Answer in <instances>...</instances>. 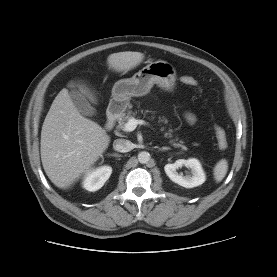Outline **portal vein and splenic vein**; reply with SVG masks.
I'll list each match as a JSON object with an SVG mask.
<instances>
[{"label": "portal vein and splenic vein", "instance_id": "obj_1", "mask_svg": "<svg viewBox=\"0 0 277 277\" xmlns=\"http://www.w3.org/2000/svg\"><path fill=\"white\" fill-rule=\"evenodd\" d=\"M145 121L144 120H138L135 119L134 117H131L125 124L123 127V130L126 132H132L136 129V127L138 125H144Z\"/></svg>", "mask_w": 277, "mask_h": 277}]
</instances>
